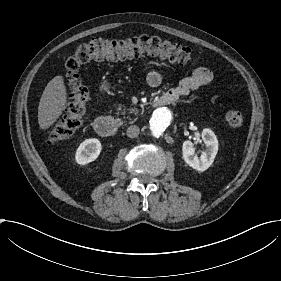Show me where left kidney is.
<instances>
[{"label": "left kidney", "mask_w": 281, "mask_h": 281, "mask_svg": "<svg viewBox=\"0 0 281 281\" xmlns=\"http://www.w3.org/2000/svg\"><path fill=\"white\" fill-rule=\"evenodd\" d=\"M201 136L206 150L202 152L200 157L195 155L194 144L189 140L183 143L182 153L184 161L190 167L203 172L212 165L215 159L218 152V140L214 132L208 128L203 129Z\"/></svg>", "instance_id": "obj_1"}]
</instances>
